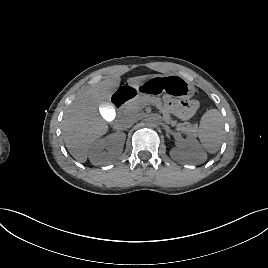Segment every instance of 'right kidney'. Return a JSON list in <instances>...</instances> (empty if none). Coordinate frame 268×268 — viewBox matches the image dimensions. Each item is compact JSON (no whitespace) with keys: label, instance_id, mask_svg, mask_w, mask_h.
I'll return each instance as SVG.
<instances>
[{"label":"right kidney","instance_id":"right-kidney-1","mask_svg":"<svg viewBox=\"0 0 268 268\" xmlns=\"http://www.w3.org/2000/svg\"><path fill=\"white\" fill-rule=\"evenodd\" d=\"M125 139V134L114 133L96 140L89 151L90 162L100 166L115 162L123 152Z\"/></svg>","mask_w":268,"mask_h":268}]
</instances>
